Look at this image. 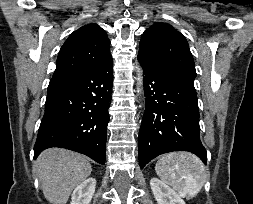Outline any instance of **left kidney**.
<instances>
[{
  "label": "left kidney",
  "instance_id": "1",
  "mask_svg": "<svg viewBox=\"0 0 253 204\" xmlns=\"http://www.w3.org/2000/svg\"><path fill=\"white\" fill-rule=\"evenodd\" d=\"M150 186L158 204H186L181 196L163 181L152 178Z\"/></svg>",
  "mask_w": 253,
  "mask_h": 204
}]
</instances>
